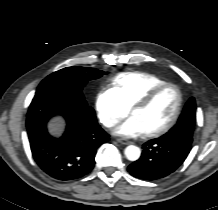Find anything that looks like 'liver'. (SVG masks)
Masks as SVG:
<instances>
[{
	"label": "liver",
	"mask_w": 218,
	"mask_h": 210,
	"mask_svg": "<svg viewBox=\"0 0 218 210\" xmlns=\"http://www.w3.org/2000/svg\"><path fill=\"white\" fill-rule=\"evenodd\" d=\"M61 121L60 120H54L53 122L50 123L49 128L51 132H58L61 129Z\"/></svg>",
	"instance_id": "obj_1"
}]
</instances>
